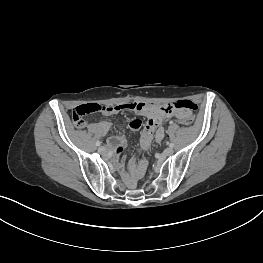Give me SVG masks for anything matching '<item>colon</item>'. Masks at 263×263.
<instances>
[{"mask_svg": "<svg viewBox=\"0 0 263 263\" xmlns=\"http://www.w3.org/2000/svg\"><path fill=\"white\" fill-rule=\"evenodd\" d=\"M175 104H180L182 107L184 105H189L191 107V113L187 115L184 120L182 118H172L167 121V125L171 126L173 123H181L182 125H185V124L190 125L194 119L192 112L197 110L198 108L197 104L191 100H179ZM104 111H105V106L97 104V103H88V104L80 105L73 110L74 123L76 124L77 127L81 128L84 123V117L86 115L92 114V113H102Z\"/></svg>", "mask_w": 263, "mask_h": 263, "instance_id": "obj_1", "label": "colon"}]
</instances>
